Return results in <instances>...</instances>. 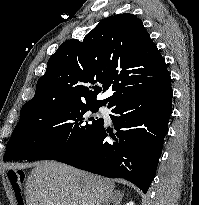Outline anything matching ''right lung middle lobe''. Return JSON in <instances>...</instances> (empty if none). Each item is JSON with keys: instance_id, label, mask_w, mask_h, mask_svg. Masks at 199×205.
I'll use <instances>...</instances> for the list:
<instances>
[{"instance_id": "obj_1", "label": "right lung middle lobe", "mask_w": 199, "mask_h": 205, "mask_svg": "<svg viewBox=\"0 0 199 205\" xmlns=\"http://www.w3.org/2000/svg\"><path fill=\"white\" fill-rule=\"evenodd\" d=\"M99 107L66 102L23 106L3 160H56L78 151L104 124L88 113Z\"/></svg>"}]
</instances>
